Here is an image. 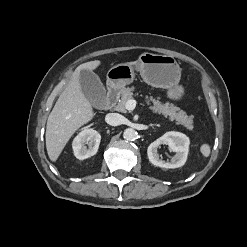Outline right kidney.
<instances>
[{
	"label": "right kidney",
	"mask_w": 247,
	"mask_h": 247,
	"mask_svg": "<svg viewBox=\"0 0 247 247\" xmlns=\"http://www.w3.org/2000/svg\"><path fill=\"white\" fill-rule=\"evenodd\" d=\"M101 135L96 130L85 127L74 138L72 147L74 155L79 160L87 159L98 151Z\"/></svg>",
	"instance_id": "obj_1"
}]
</instances>
